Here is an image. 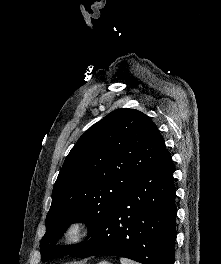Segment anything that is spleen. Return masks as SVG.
<instances>
[{
    "label": "spleen",
    "mask_w": 221,
    "mask_h": 264,
    "mask_svg": "<svg viewBox=\"0 0 221 264\" xmlns=\"http://www.w3.org/2000/svg\"><path fill=\"white\" fill-rule=\"evenodd\" d=\"M120 262H121V264H139L137 262L131 261V260L126 259V258H121Z\"/></svg>",
    "instance_id": "3e777b00"
}]
</instances>
